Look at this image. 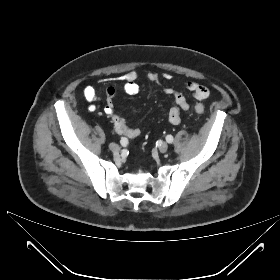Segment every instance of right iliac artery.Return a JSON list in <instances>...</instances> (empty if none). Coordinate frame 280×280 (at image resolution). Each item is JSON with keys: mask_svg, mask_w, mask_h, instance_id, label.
I'll list each match as a JSON object with an SVG mask.
<instances>
[{"mask_svg": "<svg viewBox=\"0 0 280 280\" xmlns=\"http://www.w3.org/2000/svg\"><path fill=\"white\" fill-rule=\"evenodd\" d=\"M127 143H128L127 139L122 137L121 140H120V144H121L122 146H126Z\"/></svg>", "mask_w": 280, "mask_h": 280, "instance_id": "obj_1", "label": "right iliac artery"}]
</instances>
